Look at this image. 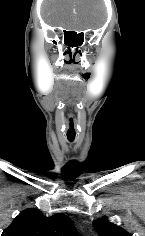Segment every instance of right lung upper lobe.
Returning <instances> with one entry per match:
<instances>
[{
    "instance_id": "cb5924a9",
    "label": "right lung upper lobe",
    "mask_w": 145,
    "mask_h": 236,
    "mask_svg": "<svg viewBox=\"0 0 145 236\" xmlns=\"http://www.w3.org/2000/svg\"><path fill=\"white\" fill-rule=\"evenodd\" d=\"M2 236H79L70 218L64 214L51 217L35 209L22 211Z\"/></svg>"
}]
</instances>
